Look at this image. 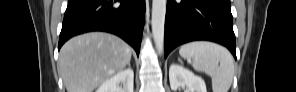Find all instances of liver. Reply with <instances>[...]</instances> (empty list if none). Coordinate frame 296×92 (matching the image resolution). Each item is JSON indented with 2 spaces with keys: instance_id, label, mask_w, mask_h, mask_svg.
<instances>
[{
  "instance_id": "6515ba94",
  "label": "liver",
  "mask_w": 296,
  "mask_h": 92,
  "mask_svg": "<svg viewBox=\"0 0 296 92\" xmlns=\"http://www.w3.org/2000/svg\"><path fill=\"white\" fill-rule=\"evenodd\" d=\"M131 49L119 37L91 32L67 41L60 50L58 71L67 92H93L131 60Z\"/></svg>"
}]
</instances>
